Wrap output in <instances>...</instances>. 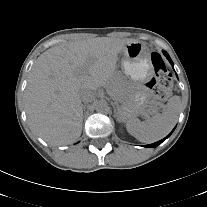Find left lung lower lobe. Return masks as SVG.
Instances as JSON below:
<instances>
[{"instance_id": "0a47b994", "label": "left lung lower lobe", "mask_w": 207, "mask_h": 207, "mask_svg": "<svg viewBox=\"0 0 207 207\" xmlns=\"http://www.w3.org/2000/svg\"><path fill=\"white\" fill-rule=\"evenodd\" d=\"M163 54L166 56V58L169 60V62L171 63L172 67H173V62L170 58V56L168 55V53L166 51H163ZM175 129V128H174ZM174 129L172 130V132L174 131ZM172 132L167 136L165 137L164 139L158 141V142H155L153 144H149V145H146L145 147H157L159 144H161L164 140H166L171 134Z\"/></svg>"}]
</instances>
